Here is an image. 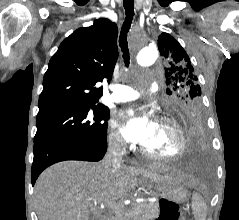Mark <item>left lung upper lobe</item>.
I'll list each match as a JSON object with an SVG mask.
<instances>
[{
	"label": "left lung upper lobe",
	"instance_id": "obj_1",
	"mask_svg": "<svg viewBox=\"0 0 239 220\" xmlns=\"http://www.w3.org/2000/svg\"><path fill=\"white\" fill-rule=\"evenodd\" d=\"M158 49L164 61L168 108L171 114L176 116L185 109H202L201 88L185 50L167 33L159 36Z\"/></svg>",
	"mask_w": 239,
	"mask_h": 220
}]
</instances>
